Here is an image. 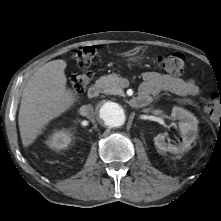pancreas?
Wrapping results in <instances>:
<instances>
[{"label":"pancreas","mask_w":221,"mask_h":221,"mask_svg":"<svg viewBox=\"0 0 221 221\" xmlns=\"http://www.w3.org/2000/svg\"><path fill=\"white\" fill-rule=\"evenodd\" d=\"M98 85L102 89V92L110 95L122 94V88L120 86V78L115 74L102 76L97 80Z\"/></svg>","instance_id":"obj_1"}]
</instances>
